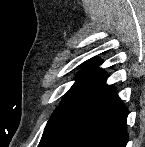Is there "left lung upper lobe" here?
<instances>
[{
  "label": "left lung upper lobe",
  "instance_id": "left-lung-upper-lobe-1",
  "mask_svg": "<svg viewBox=\"0 0 145 147\" xmlns=\"http://www.w3.org/2000/svg\"><path fill=\"white\" fill-rule=\"evenodd\" d=\"M101 63V61L86 62L85 68L76 76V82L49 119L40 141V147L55 142L66 130L86 92L100 73L101 69L98 66Z\"/></svg>",
  "mask_w": 145,
  "mask_h": 147
}]
</instances>
